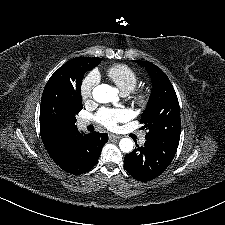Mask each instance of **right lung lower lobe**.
<instances>
[{
	"instance_id": "right-lung-lower-lobe-1",
	"label": "right lung lower lobe",
	"mask_w": 225,
	"mask_h": 225,
	"mask_svg": "<svg viewBox=\"0 0 225 225\" xmlns=\"http://www.w3.org/2000/svg\"><path fill=\"white\" fill-rule=\"evenodd\" d=\"M108 142V134L93 132L77 133L68 143L63 157L55 162L64 171L79 175L92 169L101 154L102 147Z\"/></svg>"
}]
</instances>
